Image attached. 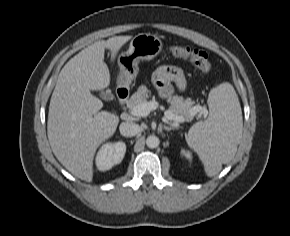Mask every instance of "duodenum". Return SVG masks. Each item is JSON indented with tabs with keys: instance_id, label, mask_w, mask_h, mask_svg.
<instances>
[{
	"instance_id": "1",
	"label": "duodenum",
	"mask_w": 290,
	"mask_h": 236,
	"mask_svg": "<svg viewBox=\"0 0 290 236\" xmlns=\"http://www.w3.org/2000/svg\"><path fill=\"white\" fill-rule=\"evenodd\" d=\"M129 97V92L125 89L117 90V100L120 105H123Z\"/></svg>"
}]
</instances>
